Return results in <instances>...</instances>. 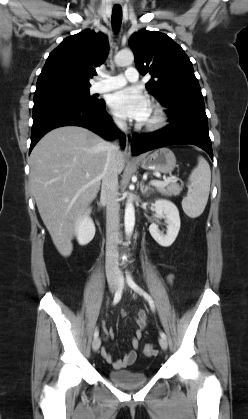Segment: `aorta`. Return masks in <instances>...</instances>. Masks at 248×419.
I'll use <instances>...</instances> for the list:
<instances>
[{
  "mask_svg": "<svg viewBox=\"0 0 248 419\" xmlns=\"http://www.w3.org/2000/svg\"><path fill=\"white\" fill-rule=\"evenodd\" d=\"M117 66H128L134 61V55L131 51H120L114 58ZM125 232L131 236L135 225V209L131 201L126 203L124 216Z\"/></svg>",
  "mask_w": 248,
  "mask_h": 419,
  "instance_id": "1",
  "label": "aorta"
}]
</instances>
